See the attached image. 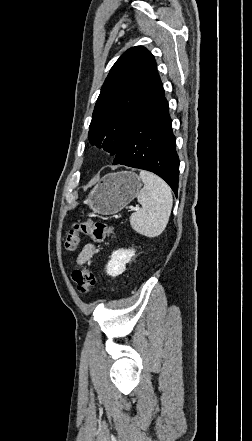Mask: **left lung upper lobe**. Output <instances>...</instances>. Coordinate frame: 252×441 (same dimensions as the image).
<instances>
[{"label":"left lung upper lobe","mask_w":252,"mask_h":441,"mask_svg":"<svg viewBox=\"0 0 252 441\" xmlns=\"http://www.w3.org/2000/svg\"><path fill=\"white\" fill-rule=\"evenodd\" d=\"M157 75L153 55L144 47L128 49L111 68L97 99L89 141L116 155L143 107Z\"/></svg>","instance_id":"left-lung-upper-lobe-1"}]
</instances>
